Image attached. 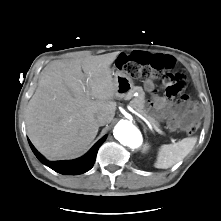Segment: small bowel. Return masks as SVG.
<instances>
[{
	"instance_id": "1",
	"label": "small bowel",
	"mask_w": 221,
	"mask_h": 221,
	"mask_svg": "<svg viewBox=\"0 0 221 221\" xmlns=\"http://www.w3.org/2000/svg\"><path fill=\"white\" fill-rule=\"evenodd\" d=\"M137 52H143V51H134L131 53H128L130 58L135 59L136 53ZM150 55H153L152 53L149 52H144ZM146 86L148 90L152 92V106L160 111V115L163 119L167 120L169 128L171 130H175L177 125H178V110L180 105L175 104L172 97L170 96H160L154 93L153 91V83L151 80H148L146 82ZM197 111L195 109L189 110L188 115L192 116L194 113Z\"/></svg>"
}]
</instances>
